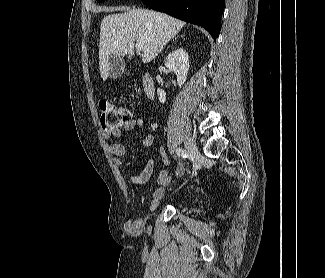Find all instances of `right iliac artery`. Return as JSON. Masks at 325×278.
Listing matches in <instances>:
<instances>
[{
    "label": "right iliac artery",
    "instance_id": "1",
    "mask_svg": "<svg viewBox=\"0 0 325 278\" xmlns=\"http://www.w3.org/2000/svg\"><path fill=\"white\" fill-rule=\"evenodd\" d=\"M176 153L183 158H186L188 155L187 151L182 148H177Z\"/></svg>",
    "mask_w": 325,
    "mask_h": 278
}]
</instances>
